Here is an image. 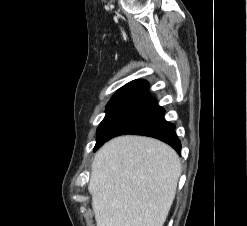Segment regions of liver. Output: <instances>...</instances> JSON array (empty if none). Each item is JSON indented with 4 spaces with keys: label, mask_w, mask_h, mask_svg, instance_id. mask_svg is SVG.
<instances>
[{
    "label": "liver",
    "mask_w": 247,
    "mask_h": 226,
    "mask_svg": "<svg viewBox=\"0 0 247 226\" xmlns=\"http://www.w3.org/2000/svg\"><path fill=\"white\" fill-rule=\"evenodd\" d=\"M181 163L165 143L120 136L96 153L88 186L97 226H163Z\"/></svg>",
    "instance_id": "obj_1"
}]
</instances>
